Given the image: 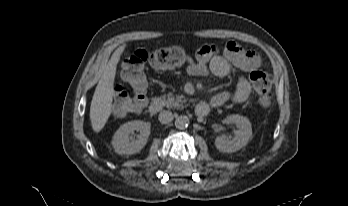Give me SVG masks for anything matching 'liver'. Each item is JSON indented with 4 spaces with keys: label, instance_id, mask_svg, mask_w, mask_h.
I'll list each match as a JSON object with an SVG mask.
<instances>
[{
    "label": "liver",
    "instance_id": "1",
    "mask_svg": "<svg viewBox=\"0 0 348 206\" xmlns=\"http://www.w3.org/2000/svg\"><path fill=\"white\" fill-rule=\"evenodd\" d=\"M125 47V44L118 47L108 63L102 68V74L90 106V120L95 132H100L103 129L111 115L116 67Z\"/></svg>",
    "mask_w": 348,
    "mask_h": 206
}]
</instances>
